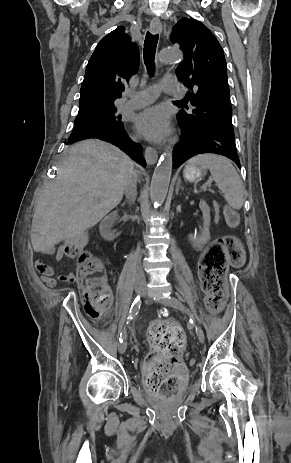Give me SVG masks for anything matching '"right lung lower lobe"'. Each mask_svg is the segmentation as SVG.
Segmentation results:
<instances>
[{
  "label": "right lung lower lobe",
  "mask_w": 291,
  "mask_h": 463,
  "mask_svg": "<svg viewBox=\"0 0 291 463\" xmlns=\"http://www.w3.org/2000/svg\"><path fill=\"white\" fill-rule=\"evenodd\" d=\"M88 138H98L109 143H112L119 147L122 151H124L127 155H129L134 161L142 165L143 167L146 166L145 159L143 158L142 154V146L133 142L127 135L124 127H120L114 130H101V131H94L83 134L78 137L69 138L67 144H72L79 140L88 139Z\"/></svg>",
  "instance_id": "1"
}]
</instances>
